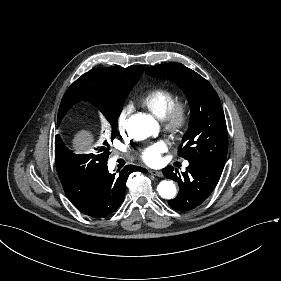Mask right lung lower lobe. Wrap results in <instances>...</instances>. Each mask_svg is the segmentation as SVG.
<instances>
[{"label": "right lung lower lobe", "mask_w": 281, "mask_h": 281, "mask_svg": "<svg viewBox=\"0 0 281 281\" xmlns=\"http://www.w3.org/2000/svg\"><path fill=\"white\" fill-rule=\"evenodd\" d=\"M55 151L69 152L60 137H55ZM89 158L86 167L80 174L61 180L65 194L71 203L82 213L91 217H105L116 211L125 197V183L133 171L146 172L133 165L124 167L118 174L110 173L107 158L102 154L83 155Z\"/></svg>", "instance_id": "98d812e1"}]
</instances>
